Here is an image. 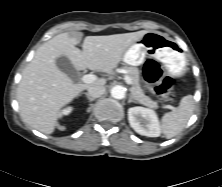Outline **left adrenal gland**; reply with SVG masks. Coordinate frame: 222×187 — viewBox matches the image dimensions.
I'll return each instance as SVG.
<instances>
[{
    "label": "left adrenal gland",
    "instance_id": "left-adrenal-gland-1",
    "mask_svg": "<svg viewBox=\"0 0 222 187\" xmlns=\"http://www.w3.org/2000/svg\"><path fill=\"white\" fill-rule=\"evenodd\" d=\"M131 102H133V103H137V101L134 100L133 96L130 94V95H129L128 103H131Z\"/></svg>",
    "mask_w": 222,
    "mask_h": 187
}]
</instances>
